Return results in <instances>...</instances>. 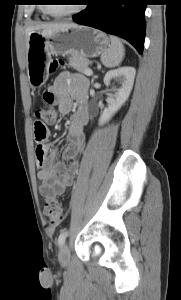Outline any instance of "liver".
<instances>
[{
    "instance_id": "6515ba94",
    "label": "liver",
    "mask_w": 181,
    "mask_h": 300,
    "mask_svg": "<svg viewBox=\"0 0 181 300\" xmlns=\"http://www.w3.org/2000/svg\"><path fill=\"white\" fill-rule=\"evenodd\" d=\"M76 24L74 23H45V24H37L27 29L26 31V48L28 46L29 35L32 32L42 33L44 35H51L61 30L68 29L69 27H73Z\"/></svg>"
}]
</instances>
